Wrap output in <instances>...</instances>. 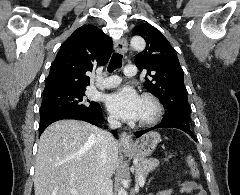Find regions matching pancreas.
Returning <instances> with one entry per match:
<instances>
[{"label":"pancreas","mask_w":240,"mask_h":195,"mask_svg":"<svg viewBox=\"0 0 240 195\" xmlns=\"http://www.w3.org/2000/svg\"><path fill=\"white\" fill-rule=\"evenodd\" d=\"M158 165H159V159H155V157H149V159H138V163H136L135 165L136 179H138L140 175H143V177H146L149 171H152V169H155V167H158Z\"/></svg>","instance_id":"1"}]
</instances>
